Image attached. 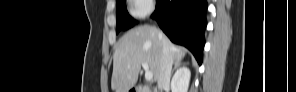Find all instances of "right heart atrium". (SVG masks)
I'll return each mask as SVG.
<instances>
[{
	"mask_svg": "<svg viewBox=\"0 0 296 92\" xmlns=\"http://www.w3.org/2000/svg\"><path fill=\"white\" fill-rule=\"evenodd\" d=\"M153 8L154 2L151 0H131L129 12L133 17L142 19L151 14Z\"/></svg>",
	"mask_w": 296,
	"mask_h": 92,
	"instance_id": "d8ad5b80",
	"label": "right heart atrium"
}]
</instances>
